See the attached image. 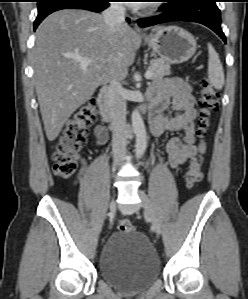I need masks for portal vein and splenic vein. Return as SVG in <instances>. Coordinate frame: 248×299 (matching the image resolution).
I'll list each match as a JSON object with an SVG mask.
<instances>
[{
    "label": "portal vein and splenic vein",
    "mask_w": 248,
    "mask_h": 299,
    "mask_svg": "<svg viewBox=\"0 0 248 299\" xmlns=\"http://www.w3.org/2000/svg\"><path fill=\"white\" fill-rule=\"evenodd\" d=\"M74 59H76L80 63L81 68H86L93 62L90 58H86V57L77 56V57H74ZM151 77H152L151 71L147 70L145 73V78L151 79Z\"/></svg>",
    "instance_id": "obj_1"
}]
</instances>
